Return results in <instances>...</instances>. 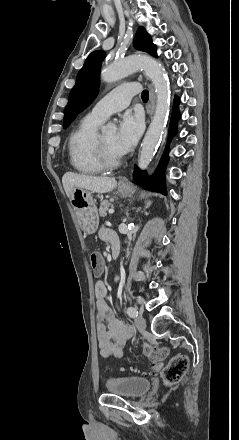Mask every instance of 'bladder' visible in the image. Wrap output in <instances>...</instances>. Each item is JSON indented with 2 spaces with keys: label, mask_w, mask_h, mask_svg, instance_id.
<instances>
[{
  "label": "bladder",
  "mask_w": 239,
  "mask_h": 440,
  "mask_svg": "<svg viewBox=\"0 0 239 440\" xmlns=\"http://www.w3.org/2000/svg\"><path fill=\"white\" fill-rule=\"evenodd\" d=\"M109 393L123 397H139L151 387V382L143 377H110L105 382Z\"/></svg>",
  "instance_id": "1"
}]
</instances>
